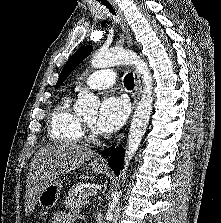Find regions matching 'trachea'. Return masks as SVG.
Listing matches in <instances>:
<instances>
[{"label":"trachea","mask_w":221,"mask_h":223,"mask_svg":"<svg viewBox=\"0 0 221 223\" xmlns=\"http://www.w3.org/2000/svg\"><path fill=\"white\" fill-rule=\"evenodd\" d=\"M101 3L105 5L113 15H115V11L113 10V8L110 6V4L107 1L102 0ZM124 85L128 90L134 88V77L132 73H129L124 77Z\"/></svg>","instance_id":"trachea-1"}]
</instances>
